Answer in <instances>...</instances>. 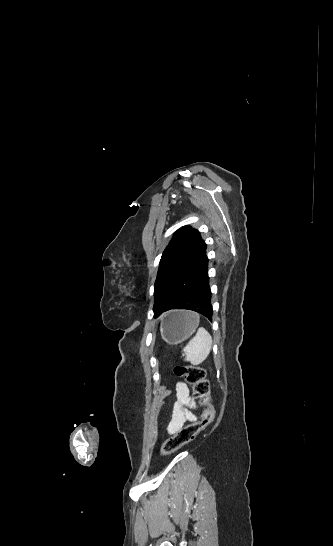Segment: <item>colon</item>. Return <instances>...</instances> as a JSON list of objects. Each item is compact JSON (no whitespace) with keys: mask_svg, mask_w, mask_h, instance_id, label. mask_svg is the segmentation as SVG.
Here are the masks:
<instances>
[{"mask_svg":"<svg viewBox=\"0 0 333 546\" xmlns=\"http://www.w3.org/2000/svg\"><path fill=\"white\" fill-rule=\"evenodd\" d=\"M173 371L176 376L184 378L192 386L193 400L200 404L204 410L198 421L183 426L164 441L161 447V455L163 456L170 455L193 441L202 430L212 423L215 417L214 409L209 402V384L204 369L186 364L176 365Z\"/></svg>","mask_w":333,"mask_h":546,"instance_id":"colon-1","label":"colon"}]
</instances>
